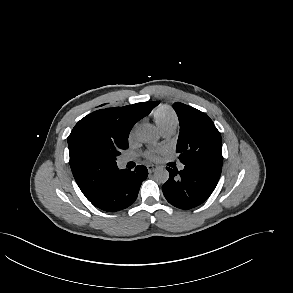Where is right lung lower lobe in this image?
<instances>
[{
  "label": "right lung lower lobe",
  "instance_id": "right-lung-lower-lobe-1",
  "mask_svg": "<svg viewBox=\"0 0 293 293\" xmlns=\"http://www.w3.org/2000/svg\"><path fill=\"white\" fill-rule=\"evenodd\" d=\"M147 175V168L143 165H138L135 171L118 170L89 201L97 208L108 212L125 209L136 200L141 183Z\"/></svg>",
  "mask_w": 293,
  "mask_h": 293
}]
</instances>
